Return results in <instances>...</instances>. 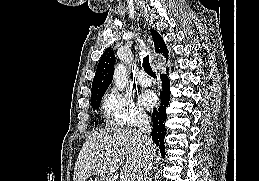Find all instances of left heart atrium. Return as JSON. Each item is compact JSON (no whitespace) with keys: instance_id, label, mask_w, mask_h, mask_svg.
<instances>
[{"instance_id":"left-heart-atrium-1","label":"left heart atrium","mask_w":259,"mask_h":181,"mask_svg":"<svg viewBox=\"0 0 259 181\" xmlns=\"http://www.w3.org/2000/svg\"><path fill=\"white\" fill-rule=\"evenodd\" d=\"M139 102L144 108L151 109L157 103V96L152 91H145L140 96Z\"/></svg>"}]
</instances>
